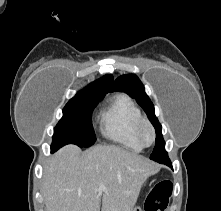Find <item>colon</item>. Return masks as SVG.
Returning a JSON list of instances; mask_svg holds the SVG:
<instances>
[{
  "label": "colon",
  "mask_w": 221,
  "mask_h": 211,
  "mask_svg": "<svg viewBox=\"0 0 221 211\" xmlns=\"http://www.w3.org/2000/svg\"><path fill=\"white\" fill-rule=\"evenodd\" d=\"M172 190L173 185L170 181L157 183L147 196L145 211H164L168 206Z\"/></svg>",
  "instance_id": "5ec220e1"
}]
</instances>
